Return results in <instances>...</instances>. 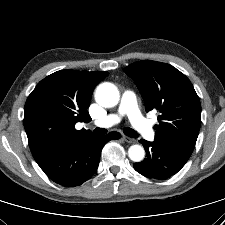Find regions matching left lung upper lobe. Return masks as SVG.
<instances>
[{"instance_id": "5c2ea615", "label": "left lung upper lobe", "mask_w": 225, "mask_h": 225, "mask_svg": "<svg viewBox=\"0 0 225 225\" xmlns=\"http://www.w3.org/2000/svg\"><path fill=\"white\" fill-rule=\"evenodd\" d=\"M125 73L135 81L146 111L159 113L155 141L191 155L201 125V104L190 80L175 67L150 60L127 66Z\"/></svg>"}]
</instances>
